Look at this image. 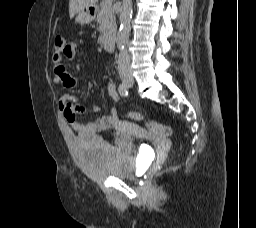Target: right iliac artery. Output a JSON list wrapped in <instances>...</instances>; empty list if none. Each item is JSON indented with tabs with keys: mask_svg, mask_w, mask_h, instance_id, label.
I'll return each instance as SVG.
<instances>
[{
	"mask_svg": "<svg viewBox=\"0 0 256 228\" xmlns=\"http://www.w3.org/2000/svg\"><path fill=\"white\" fill-rule=\"evenodd\" d=\"M118 91L122 97H126L128 95V87L125 83H121L119 85Z\"/></svg>",
	"mask_w": 256,
	"mask_h": 228,
	"instance_id": "1",
	"label": "right iliac artery"
}]
</instances>
